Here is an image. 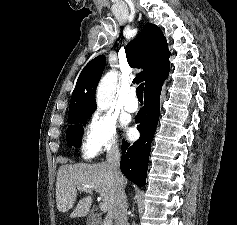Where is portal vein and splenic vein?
Listing matches in <instances>:
<instances>
[{
    "label": "portal vein and splenic vein",
    "mask_w": 237,
    "mask_h": 225,
    "mask_svg": "<svg viewBox=\"0 0 237 225\" xmlns=\"http://www.w3.org/2000/svg\"><path fill=\"white\" fill-rule=\"evenodd\" d=\"M77 189L80 191H85V192L92 194L90 187L87 185L79 186ZM99 207H100L101 211H103V212H106L108 210L107 205L105 203L100 202Z\"/></svg>",
    "instance_id": "18ae733b"
}]
</instances>
